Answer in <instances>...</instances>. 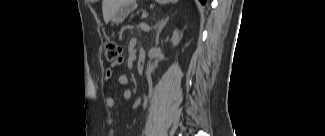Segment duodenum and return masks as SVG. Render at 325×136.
<instances>
[{"instance_id": "duodenum-1", "label": "duodenum", "mask_w": 325, "mask_h": 136, "mask_svg": "<svg viewBox=\"0 0 325 136\" xmlns=\"http://www.w3.org/2000/svg\"><path fill=\"white\" fill-rule=\"evenodd\" d=\"M147 60V51L144 48H141L138 52V59L136 64V69L138 72H143L145 70Z\"/></svg>"}]
</instances>
